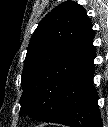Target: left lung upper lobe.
Wrapping results in <instances>:
<instances>
[{
	"mask_svg": "<svg viewBox=\"0 0 108 127\" xmlns=\"http://www.w3.org/2000/svg\"><path fill=\"white\" fill-rule=\"evenodd\" d=\"M86 19L85 9L66 1L49 12L33 33L22 73L20 114L38 118L61 85L64 57Z\"/></svg>",
	"mask_w": 108,
	"mask_h": 127,
	"instance_id": "5c2ea615",
	"label": "left lung upper lobe"
}]
</instances>
